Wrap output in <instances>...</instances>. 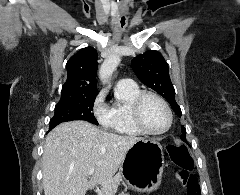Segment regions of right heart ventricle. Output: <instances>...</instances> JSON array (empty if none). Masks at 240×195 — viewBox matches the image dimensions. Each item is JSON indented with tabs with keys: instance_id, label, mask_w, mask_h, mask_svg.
<instances>
[{
	"instance_id": "right-heart-ventricle-1",
	"label": "right heart ventricle",
	"mask_w": 240,
	"mask_h": 195,
	"mask_svg": "<svg viewBox=\"0 0 240 195\" xmlns=\"http://www.w3.org/2000/svg\"><path fill=\"white\" fill-rule=\"evenodd\" d=\"M140 92L139 86L134 83H118L115 92V101L111 108V118L103 123L107 131H114L113 137L139 136L143 133L136 126L132 105L135 96Z\"/></svg>"
}]
</instances>
